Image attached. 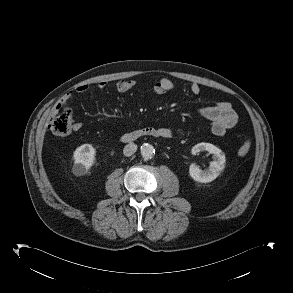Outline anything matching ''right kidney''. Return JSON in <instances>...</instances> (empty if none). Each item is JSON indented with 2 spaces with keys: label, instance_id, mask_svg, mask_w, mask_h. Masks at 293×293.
<instances>
[{
  "label": "right kidney",
  "instance_id": "right-kidney-1",
  "mask_svg": "<svg viewBox=\"0 0 293 293\" xmlns=\"http://www.w3.org/2000/svg\"><path fill=\"white\" fill-rule=\"evenodd\" d=\"M95 154L96 150L91 144H83L76 148L73 153V173L76 176L86 174L94 164Z\"/></svg>",
  "mask_w": 293,
  "mask_h": 293
}]
</instances>
